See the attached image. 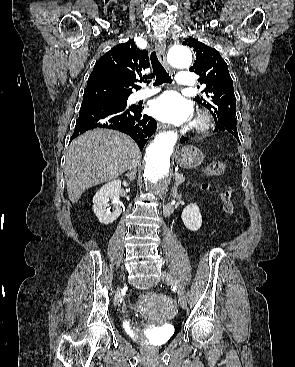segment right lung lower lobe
<instances>
[{
	"instance_id": "1",
	"label": "right lung lower lobe",
	"mask_w": 295,
	"mask_h": 367,
	"mask_svg": "<svg viewBox=\"0 0 295 367\" xmlns=\"http://www.w3.org/2000/svg\"><path fill=\"white\" fill-rule=\"evenodd\" d=\"M95 128L119 130L131 136L142 150L148 137L155 133L157 122L142 115V106H120L113 104L82 105L79 118L70 142L82 133Z\"/></svg>"
}]
</instances>
